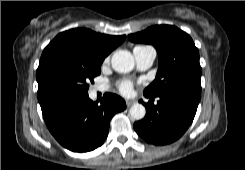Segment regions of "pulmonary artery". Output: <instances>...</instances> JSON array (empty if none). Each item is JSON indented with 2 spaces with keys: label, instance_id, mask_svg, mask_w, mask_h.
I'll return each instance as SVG.
<instances>
[{
  "label": "pulmonary artery",
  "instance_id": "e3ab8cb5",
  "mask_svg": "<svg viewBox=\"0 0 245 170\" xmlns=\"http://www.w3.org/2000/svg\"><path fill=\"white\" fill-rule=\"evenodd\" d=\"M133 54L140 70L148 69L153 64L156 55L154 49L149 46L136 47ZM99 89L105 90L106 88L100 87Z\"/></svg>",
  "mask_w": 245,
  "mask_h": 170
}]
</instances>
